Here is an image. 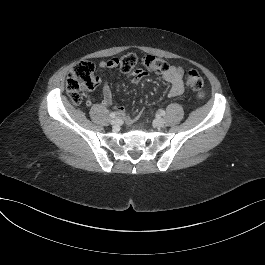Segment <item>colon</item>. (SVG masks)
<instances>
[{
    "label": "colon",
    "mask_w": 265,
    "mask_h": 265,
    "mask_svg": "<svg viewBox=\"0 0 265 265\" xmlns=\"http://www.w3.org/2000/svg\"><path fill=\"white\" fill-rule=\"evenodd\" d=\"M114 62L122 72L130 74L135 70L138 59L135 54L128 53L114 58ZM141 62L147 71L155 74H164L169 68L165 60L152 55L144 56ZM185 80L188 88L195 92L198 98H205L203 79L197 70H189ZM97 84L98 77L95 74L94 64L90 61H80L69 72L66 80V90L70 101L74 105H79L82 101V94L92 91Z\"/></svg>",
    "instance_id": "obj_1"
}]
</instances>
